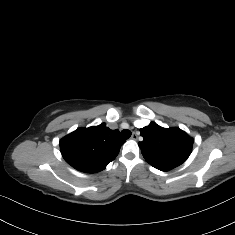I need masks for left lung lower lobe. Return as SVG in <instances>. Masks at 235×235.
I'll return each instance as SVG.
<instances>
[{"label": "left lung lower lobe", "instance_id": "left-lung-lower-lobe-1", "mask_svg": "<svg viewBox=\"0 0 235 235\" xmlns=\"http://www.w3.org/2000/svg\"><path fill=\"white\" fill-rule=\"evenodd\" d=\"M161 171H169V170H171V169H168V168H162V169H160Z\"/></svg>", "mask_w": 235, "mask_h": 235}]
</instances>
